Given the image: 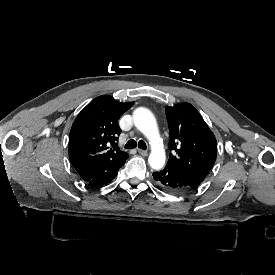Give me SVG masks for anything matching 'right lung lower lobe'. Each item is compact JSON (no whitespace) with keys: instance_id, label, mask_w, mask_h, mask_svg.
Listing matches in <instances>:
<instances>
[{"instance_id":"1","label":"right lung lower lobe","mask_w":275,"mask_h":275,"mask_svg":"<svg viewBox=\"0 0 275 275\" xmlns=\"http://www.w3.org/2000/svg\"><path fill=\"white\" fill-rule=\"evenodd\" d=\"M126 160L122 162H102L98 163L83 169L77 170L80 177L96 186H102L104 184L109 183L112 181L117 173L119 168H121Z\"/></svg>"}]
</instances>
